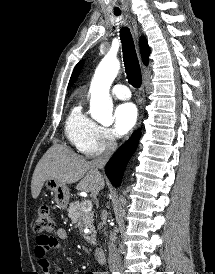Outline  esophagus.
Returning <instances> with one entry per match:
<instances>
[{
    "label": "esophagus",
    "instance_id": "1",
    "mask_svg": "<svg viewBox=\"0 0 215 274\" xmlns=\"http://www.w3.org/2000/svg\"><path fill=\"white\" fill-rule=\"evenodd\" d=\"M132 24H133L135 35H136V37H138L139 33H138V29H137V23L134 19H132ZM142 91H143V96H144V89ZM139 124H140V122H139Z\"/></svg>",
    "mask_w": 215,
    "mask_h": 274
}]
</instances>
